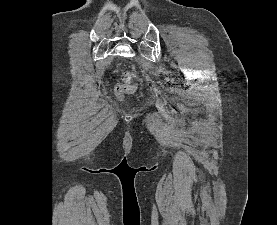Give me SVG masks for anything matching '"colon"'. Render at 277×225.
<instances>
[{"instance_id":"1","label":"colon","mask_w":277,"mask_h":225,"mask_svg":"<svg viewBox=\"0 0 277 225\" xmlns=\"http://www.w3.org/2000/svg\"><path fill=\"white\" fill-rule=\"evenodd\" d=\"M137 85L133 82V77L129 72L123 74V83L118 84L114 92L116 96L120 99L125 98L126 96L133 94L137 91Z\"/></svg>"}]
</instances>
